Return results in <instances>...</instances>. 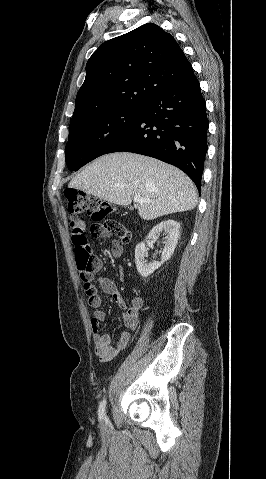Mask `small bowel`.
Masks as SVG:
<instances>
[{
	"instance_id": "1",
	"label": "small bowel",
	"mask_w": 266,
	"mask_h": 479,
	"mask_svg": "<svg viewBox=\"0 0 266 479\" xmlns=\"http://www.w3.org/2000/svg\"><path fill=\"white\" fill-rule=\"evenodd\" d=\"M117 246H114L116 248ZM92 267L94 272H99L103 267V260L95 256L92 259ZM122 273V270H120ZM100 285L105 294L112 297L115 304L121 309L120 316L125 327L131 331H135L139 327L140 312L143 307V299L134 297L130 306H127L122 294L118 291L115 284L108 278L102 277L99 280ZM103 303V296L98 294L96 303L92 304L95 309L90 320L91 328L94 335V352L102 362H109L116 358L129 344L131 334L123 332L116 344L112 345V336L108 332H101V323L106 319V312L99 309Z\"/></svg>"
}]
</instances>
